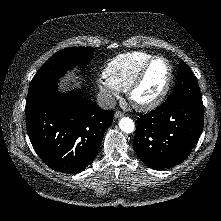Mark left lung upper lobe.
Returning <instances> with one entry per match:
<instances>
[{
  "label": "left lung upper lobe",
  "instance_id": "1",
  "mask_svg": "<svg viewBox=\"0 0 221 221\" xmlns=\"http://www.w3.org/2000/svg\"><path fill=\"white\" fill-rule=\"evenodd\" d=\"M177 99H187L202 102V96L198 83L190 68L183 61H180L179 64L178 79L174 90L166 101Z\"/></svg>",
  "mask_w": 221,
  "mask_h": 221
}]
</instances>
